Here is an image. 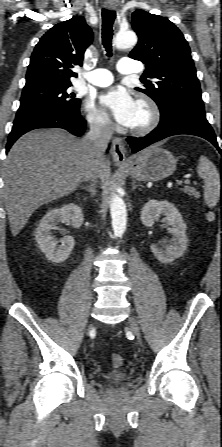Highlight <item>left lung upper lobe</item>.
Masks as SVG:
<instances>
[{"label":"left lung upper lobe","mask_w":222,"mask_h":447,"mask_svg":"<svg viewBox=\"0 0 222 447\" xmlns=\"http://www.w3.org/2000/svg\"><path fill=\"white\" fill-rule=\"evenodd\" d=\"M131 24L139 40L129 57L145 63V75L157 79L135 89L150 96L160 113L174 104L204 111L191 51L181 31L166 17L144 10L133 12Z\"/></svg>","instance_id":"1"}]
</instances>
